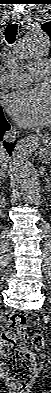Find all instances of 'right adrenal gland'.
I'll return each mask as SVG.
<instances>
[{"label": "right adrenal gland", "mask_w": 51, "mask_h": 393, "mask_svg": "<svg viewBox=\"0 0 51 393\" xmlns=\"http://www.w3.org/2000/svg\"><path fill=\"white\" fill-rule=\"evenodd\" d=\"M0 185H2V181H4V173L1 171V177H0Z\"/></svg>", "instance_id": "right-adrenal-gland-1"}]
</instances>
